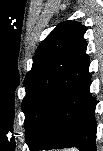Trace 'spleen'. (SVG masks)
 Returning <instances> with one entry per match:
<instances>
[{"label": "spleen", "mask_w": 103, "mask_h": 151, "mask_svg": "<svg viewBox=\"0 0 103 151\" xmlns=\"http://www.w3.org/2000/svg\"><path fill=\"white\" fill-rule=\"evenodd\" d=\"M66 151H77V150L72 148V149H69V150H66Z\"/></svg>", "instance_id": "spleen-1"}]
</instances>
